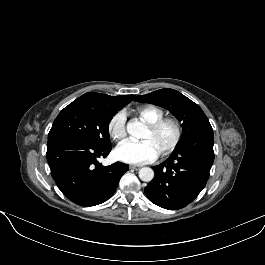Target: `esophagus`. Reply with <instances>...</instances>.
Listing matches in <instances>:
<instances>
[{"label": "esophagus", "instance_id": "obj_1", "mask_svg": "<svg viewBox=\"0 0 265 265\" xmlns=\"http://www.w3.org/2000/svg\"><path fill=\"white\" fill-rule=\"evenodd\" d=\"M130 168L133 169V170H139L141 168V166H139V165H131Z\"/></svg>", "mask_w": 265, "mask_h": 265}]
</instances>
